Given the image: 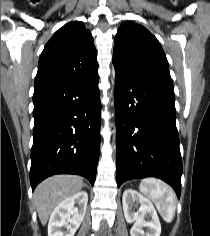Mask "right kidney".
Instances as JSON below:
<instances>
[{
  "label": "right kidney",
  "mask_w": 210,
  "mask_h": 236,
  "mask_svg": "<svg viewBox=\"0 0 210 236\" xmlns=\"http://www.w3.org/2000/svg\"><path fill=\"white\" fill-rule=\"evenodd\" d=\"M87 203L88 194L85 191L61 201L51 214L48 236H74L85 216Z\"/></svg>",
  "instance_id": "ca27d5eb"
}]
</instances>
